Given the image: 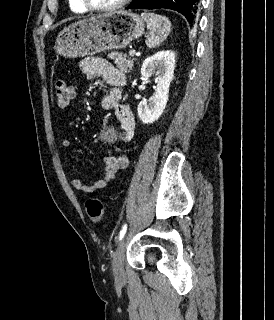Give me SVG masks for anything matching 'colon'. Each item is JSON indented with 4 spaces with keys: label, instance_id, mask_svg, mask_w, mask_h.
<instances>
[{
    "label": "colon",
    "instance_id": "colon-1",
    "mask_svg": "<svg viewBox=\"0 0 274 320\" xmlns=\"http://www.w3.org/2000/svg\"><path fill=\"white\" fill-rule=\"evenodd\" d=\"M53 90L56 105L59 108L68 107L74 97L73 86L67 83L65 80H57L54 84ZM85 210L88 217L93 222H101L104 219V205L96 198H90L86 201Z\"/></svg>",
    "mask_w": 274,
    "mask_h": 320
}]
</instances>
